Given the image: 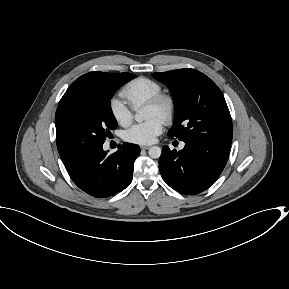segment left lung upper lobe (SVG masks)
I'll return each mask as SVG.
<instances>
[{"label":"left lung upper lobe","instance_id":"left-lung-upper-lobe-1","mask_svg":"<svg viewBox=\"0 0 289 289\" xmlns=\"http://www.w3.org/2000/svg\"><path fill=\"white\" fill-rule=\"evenodd\" d=\"M153 76L166 84L174 97L176 110L169 137L231 143L230 112L222 92L209 77L195 69L155 72Z\"/></svg>","mask_w":289,"mask_h":289}]
</instances>
